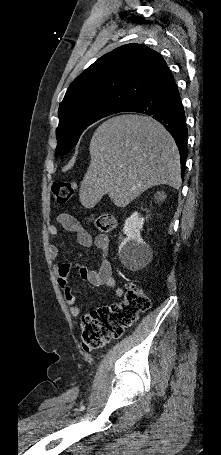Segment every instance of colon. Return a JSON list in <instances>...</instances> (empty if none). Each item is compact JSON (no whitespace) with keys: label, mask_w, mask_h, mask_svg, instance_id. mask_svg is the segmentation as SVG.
Wrapping results in <instances>:
<instances>
[{"label":"colon","mask_w":221,"mask_h":455,"mask_svg":"<svg viewBox=\"0 0 221 455\" xmlns=\"http://www.w3.org/2000/svg\"><path fill=\"white\" fill-rule=\"evenodd\" d=\"M77 191L74 181H60L52 187V198L56 206L68 203ZM94 227L102 233H110L118 226V220L111 213H101L93 217ZM150 299L145 291L131 284L120 303L92 311L83 318L82 341L86 350L101 348L108 341L119 338L131 327L140 314L148 310Z\"/></svg>","instance_id":"obj_1"}]
</instances>
